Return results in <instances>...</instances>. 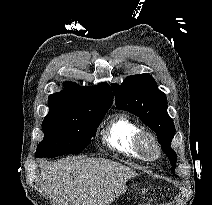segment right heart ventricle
<instances>
[{"label": "right heart ventricle", "mask_w": 212, "mask_h": 205, "mask_svg": "<svg viewBox=\"0 0 212 205\" xmlns=\"http://www.w3.org/2000/svg\"><path fill=\"white\" fill-rule=\"evenodd\" d=\"M139 133L138 126L127 116H114L102 132L103 142L111 149L132 157L139 155L135 139Z\"/></svg>", "instance_id": "obj_1"}]
</instances>
